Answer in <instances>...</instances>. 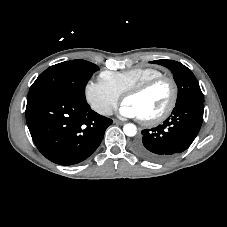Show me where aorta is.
<instances>
[{
	"label": "aorta",
	"instance_id": "aorta-1",
	"mask_svg": "<svg viewBox=\"0 0 227 227\" xmlns=\"http://www.w3.org/2000/svg\"><path fill=\"white\" fill-rule=\"evenodd\" d=\"M123 132L125 133L126 136L133 137L137 133V128L134 124L128 123L124 125Z\"/></svg>",
	"mask_w": 227,
	"mask_h": 227
}]
</instances>
